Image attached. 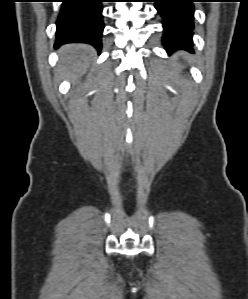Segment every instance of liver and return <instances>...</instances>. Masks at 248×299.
Listing matches in <instances>:
<instances>
[{
	"label": "liver",
	"instance_id": "obj_1",
	"mask_svg": "<svg viewBox=\"0 0 248 299\" xmlns=\"http://www.w3.org/2000/svg\"><path fill=\"white\" fill-rule=\"evenodd\" d=\"M59 54L58 73L77 79L87 71L95 51L90 45L68 44L60 49Z\"/></svg>",
	"mask_w": 248,
	"mask_h": 299
}]
</instances>
